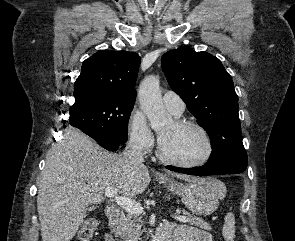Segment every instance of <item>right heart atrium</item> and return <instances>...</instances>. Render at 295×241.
<instances>
[{"label":"right heart atrium","mask_w":295,"mask_h":241,"mask_svg":"<svg viewBox=\"0 0 295 241\" xmlns=\"http://www.w3.org/2000/svg\"><path fill=\"white\" fill-rule=\"evenodd\" d=\"M128 141L140 152H148L154 146V136L144 115L139 111H132L128 120Z\"/></svg>","instance_id":"obj_1"}]
</instances>
